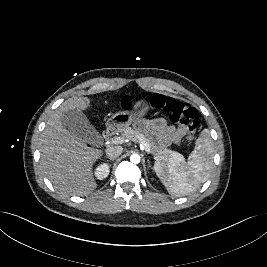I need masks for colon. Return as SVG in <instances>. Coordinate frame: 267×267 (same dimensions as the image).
Masks as SVG:
<instances>
[{
    "label": "colon",
    "instance_id": "1",
    "mask_svg": "<svg viewBox=\"0 0 267 267\" xmlns=\"http://www.w3.org/2000/svg\"><path fill=\"white\" fill-rule=\"evenodd\" d=\"M147 103L154 109L166 112L173 122L181 123L186 126V142L192 144L195 133L200 125L199 113L194 107L161 94H151L147 98ZM132 106V99L124 97L121 107L129 109Z\"/></svg>",
    "mask_w": 267,
    "mask_h": 267
}]
</instances>
